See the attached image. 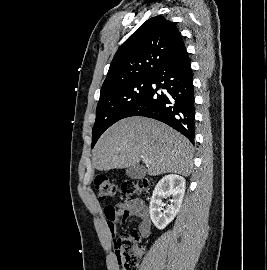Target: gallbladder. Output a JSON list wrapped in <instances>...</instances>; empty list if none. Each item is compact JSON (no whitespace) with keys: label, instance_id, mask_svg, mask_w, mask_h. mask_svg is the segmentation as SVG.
Instances as JSON below:
<instances>
[{"label":"gallbladder","instance_id":"obj_1","mask_svg":"<svg viewBox=\"0 0 267 270\" xmlns=\"http://www.w3.org/2000/svg\"><path fill=\"white\" fill-rule=\"evenodd\" d=\"M126 175L131 179H142L146 176V171L138 165H134L126 169Z\"/></svg>","mask_w":267,"mask_h":270}]
</instances>
